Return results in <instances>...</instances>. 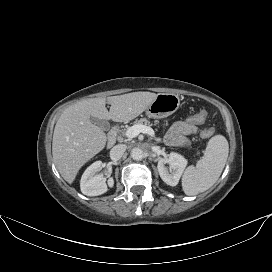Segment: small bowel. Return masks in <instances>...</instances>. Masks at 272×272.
<instances>
[{"instance_id": "small-bowel-1", "label": "small bowel", "mask_w": 272, "mask_h": 272, "mask_svg": "<svg viewBox=\"0 0 272 272\" xmlns=\"http://www.w3.org/2000/svg\"><path fill=\"white\" fill-rule=\"evenodd\" d=\"M197 130L198 128L190 122H176L168 130L166 142L173 146L186 144L188 142V136L195 134Z\"/></svg>"}]
</instances>
